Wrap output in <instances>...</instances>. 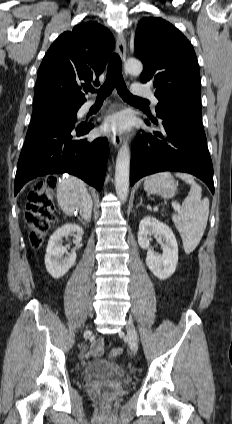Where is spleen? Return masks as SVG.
Returning a JSON list of instances; mask_svg holds the SVG:
<instances>
[{
    "mask_svg": "<svg viewBox=\"0 0 232 424\" xmlns=\"http://www.w3.org/2000/svg\"><path fill=\"white\" fill-rule=\"evenodd\" d=\"M177 177L191 186L178 214L172 215L175 227L182 238L184 251L190 254L198 246L207 226L209 199H202V188L194 178L185 173H176Z\"/></svg>",
    "mask_w": 232,
    "mask_h": 424,
    "instance_id": "spleen-1",
    "label": "spleen"
}]
</instances>
